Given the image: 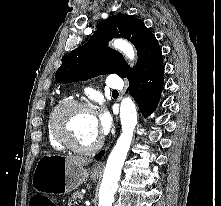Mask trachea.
Segmentation results:
<instances>
[{
    "mask_svg": "<svg viewBox=\"0 0 221 206\" xmlns=\"http://www.w3.org/2000/svg\"><path fill=\"white\" fill-rule=\"evenodd\" d=\"M113 93H118L117 91H113Z\"/></svg>",
    "mask_w": 221,
    "mask_h": 206,
    "instance_id": "obj_1",
    "label": "trachea"
}]
</instances>
